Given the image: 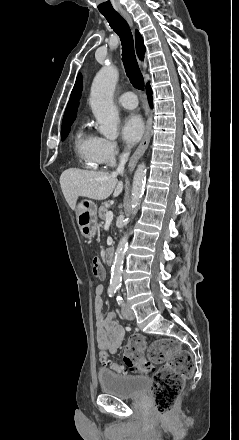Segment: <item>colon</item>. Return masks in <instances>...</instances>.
I'll list each match as a JSON object with an SVG mask.
<instances>
[{"mask_svg":"<svg viewBox=\"0 0 239 440\" xmlns=\"http://www.w3.org/2000/svg\"><path fill=\"white\" fill-rule=\"evenodd\" d=\"M92 272L98 278L104 277V269L99 259L92 261ZM146 341L143 336L134 334L128 339L124 351V366L114 363L115 371L123 373L131 370L136 373H154L152 397L157 413L167 414L175 405L185 381L193 371V358L178 342L171 339L155 341L149 352V360L144 357ZM155 364L161 366L155 370Z\"/></svg>","mask_w":239,"mask_h":440,"instance_id":"colon-1","label":"colon"}]
</instances>
